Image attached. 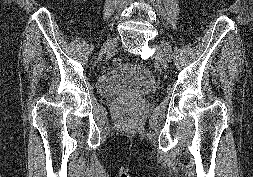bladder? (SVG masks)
I'll use <instances>...</instances> for the list:
<instances>
[{
	"label": "bladder",
	"mask_w": 253,
	"mask_h": 177,
	"mask_svg": "<svg viewBox=\"0 0 253 177\" xmlns=\"http://www.w3.org/2000/svg\"><path fill=\"white\" fill-rule=\"evenodd\" d=\"M157 88V82L147 67L128 63L121 64L97 80V91L103 96L142 95Z\"/></svg>",
	"instance_id": "1"
}]
</instances>
